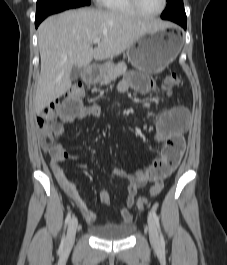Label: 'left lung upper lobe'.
Segmentation results:
<instances>
[{"label": "left lung upper lobe", "instance_id": "left-lung-upper-lobe-1", "mask_svg": "<svg viewBox=\"0 0 227 265\" xmlns=\"http://www.w3.org/2000/svg\"><path fill=\"white\" fill-rule=\"evenodd\" d=\"M161 17L167 20H186L183 0H167V7Z\"/></svg>", "mask_w": 227, "mask_h": 265}]
</instances>
